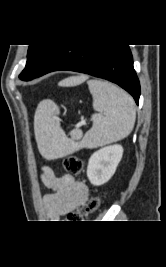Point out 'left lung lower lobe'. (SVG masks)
Returning a JSON list of instances; mask_svg holds the SVG:
<instances>
[{
    "instance_id": "obj_1",
    "label": "left lung lower lobe",
    "mask_w": 166,
    "mask_h": 267,
    "mask_svg": "<svg viewBox=\"0 0 166 267\" xmlns=\"http://www.w3.org/2000/svg\"><path fill=\"white\" fill-rule=\"evenodd\" d=\"M62 70L85 73L114 82L129 92L137 104L139 103L140 84L128 45H60L35 78Z\"/></svg>"
}]
</instances>
